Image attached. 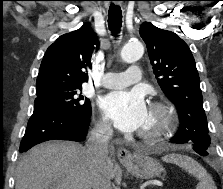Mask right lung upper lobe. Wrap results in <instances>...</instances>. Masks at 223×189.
I'll list each match as a JSON object with an SVG mask.
<instances>
[{"mask_svg":"<svg viewBox=\"0 0 223 189\" xmlns=\"http://www.w3.org/2000/svg\"><path fill=\"white\" fill-rule=\"evenodd\" d=\"M97 39L90 24L61 35L44 54L36 81V92L82 87L88 81L91 56Z\"/></svg>","mask_w":223,"mask_h":189,"instance_id":"obj_1","label":"right lung upper lobe"}]
</instances>
